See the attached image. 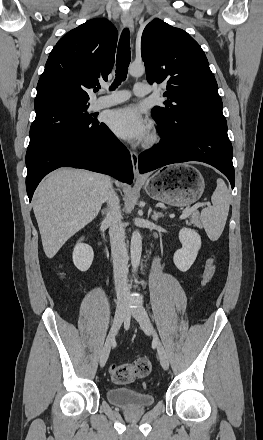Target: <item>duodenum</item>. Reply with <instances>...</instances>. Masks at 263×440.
Instances as JSON below:
<instances>
[{
	"label": "duodenum",
	"mask_w": 263,
	"mask_h": 440,
	"mask_svg": "<svg viewBox=\"0 0 263 440\" xmlns=\"http://www.w3.org/2000/svg\"><path fill=\"white\" fill-rule=\"evenodd\" d=\"M98 245L100 246V248L102 249L103 252L106 251V249H105V247H104V244H103L102 240H100V239L98 240Z\"/></svg>",
	"instance_id": "duodenum-1"
}]
</instances>
